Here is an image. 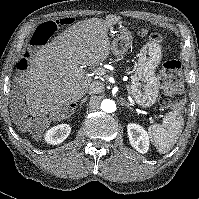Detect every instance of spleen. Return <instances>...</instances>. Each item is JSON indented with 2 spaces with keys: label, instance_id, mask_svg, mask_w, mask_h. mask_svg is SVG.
Returning a JSON list of instances; mask_svg holds the SVG:
<instances>
[{
  "label": "spleen",
  "instance_id": "3e777b00",
  "mask_svg": "<svg viewBox=\"0 0 199 199\" xmlns=\"http://www.w3.org/2000/svg\"><path fill=\"white\" fill-rule=\"evenodd\" d=\"M184 118L177 111L169 112L162 124H154L148 128V135L151 142L156 146L159 153L169 152L177 142L182 133Z\"/></svg>",
  "mask_w": 199,
  "mask_h": 199
}]
</instances>
